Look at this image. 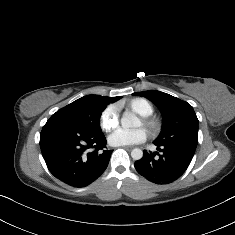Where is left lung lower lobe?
<instances>
[{"mask_svg": "<svg viewBox=\"0 0 235 235\" xmlns=\"http://www.w3.org/2000/svg\"><path fill=\"white\" fill-rule=\"evenodd\" d=\"M155 145L162 154L156 153L159 157L155 158V153L144 150L142 159L136 161L134 166L140 175L151 182H173L187 169L195 149L178 143Z\"/></svg>", "mask_w": 235, "mask_h": 235, "instance_id": "1", "label": "left lung lower lobe"}]
</instances>
